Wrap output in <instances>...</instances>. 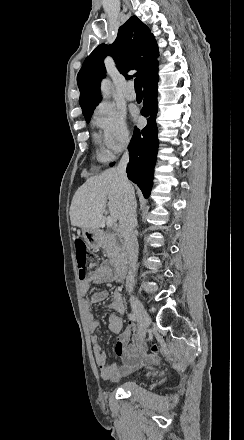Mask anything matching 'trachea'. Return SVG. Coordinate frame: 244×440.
Here are the masks:
<instances>
[{
    "label": "trachea",
    "mask_w": 244,
    "mask_h": 440,
    "mask_svg": "<svg viewBox=\"0 0 244 440\" xmlns=\"http://www.w3.org/2000/svg\"><path fill=\"white\" fill-rule=\"evenodd\" d=\"M134 85H135V91L136 92H142V80H141V78H139V77L135 78Z\"/></svg>",
    "instance_id": "trachea-1"
}]
</instances>
